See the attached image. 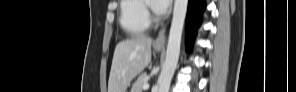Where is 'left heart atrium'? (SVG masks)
Masks as SVG:
<instances>
[{
	"mask_svg": "<svg viewBox=\"0 0 296 92\" xmlns=\"http://www.w3.org/2000/svg\"><path fill=\"white\" fill-rule=\"evenodd\" d=\"M170 3V0H156L153 2L154 11L157 14L162 15L169 9Z\"/></svg>",
	"mask_w": 296,
	"mask_h": 92,
	"instance_id": "left-heart-atrium-1",
	"label": "left heart atrium"
}]
</instances>
